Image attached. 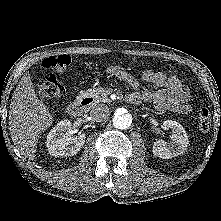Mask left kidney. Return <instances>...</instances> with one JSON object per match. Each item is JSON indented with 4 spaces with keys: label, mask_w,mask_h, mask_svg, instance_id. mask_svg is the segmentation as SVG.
<instances>
[{
    "label": "left kidney",
    "mask_w": 221,
    "mask_h": 221,
    "mask_svg": "<svg viewBox=\"0 0 221 221\" xmlns=\"http://www.w3.org/2000/svg\"><path fill=\"white\" fill-rule=\"evenodd\" d=\"M166 129L172 130L170 142L158 140L154 142L152 152L155 156L169 159L180 155L187 149L189 143L187 133L183 126L176 121L166 120L163 122Z\"/></svg>",
    "instance_id": "1"
}]
</instances>
